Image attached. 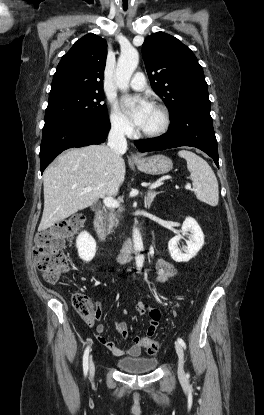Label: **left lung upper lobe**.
Masks as SVG:
<instances>
[{
  "label": "left lung upper lobe",
  "instance_id": "1",
  "mask_svg": "<svg viewBox=\"0 0 264 415\" xmlns=\"http://www.w3.org/2000/svg\"><path fill=\"white\" fill-rule=\"evenodd\" d=\"M142 53L151 87L172 117L192 105H210L203 69L194 53L164 32L148 36Z\"/></svg>",
  "mask_w": 264,
  "mask_h": 415
}]
</instances>
